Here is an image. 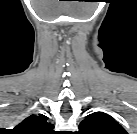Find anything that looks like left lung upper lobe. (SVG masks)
Returning a JSON list of instances; mask_svg holds the SVG:
<instances>
[{
    "label": "left lung upper lobe",
    "instance_id": "obj_1",
    "mask_svg": "<svg viewBox=\"0 0 137 134\" xmlns=\"http://www.w3.org/2000/svg\"><path fill=\"white\" fill-rule=\"evenodd\" d=\"M78 134H127V132L110 115L93 112L80 123Z\"/></svg>",
    "mask_w": 137,
    "mask_h": 134
}]
</instances>
